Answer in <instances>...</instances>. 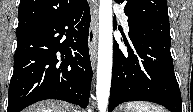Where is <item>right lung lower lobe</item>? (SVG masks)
Here are the masks:
<instances>
[{
    "label": "right lung lower lobe",
    "instance_id": "98d812e1",
    "mask_svg": "<svg viewBox=\"0 0 193 112\" xmlns=\"http://www.w3.org/2000/svg\"><path fill=\"white\" fill-rule=\"evenodd\" d=\"M89 26V5L84 0L63 16L17 36L8 112H20L45 99L86 108L92 79ZM63 35L66 39L60 42Z\"/></svg>",
    "mask_w": 193,
    "mask_h": 112
}]
</instances>
